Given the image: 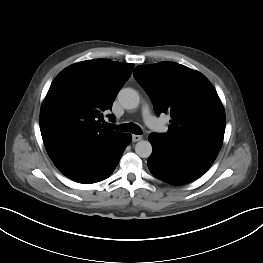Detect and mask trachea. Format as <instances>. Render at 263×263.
I'll list each match as a JSON object with an SVG mask.
<instances>
[{"mask_svg": "<svg viewBox=\"0 0 263 263\" xmlns=\"http://www.w3.org/2000/svg\"><path fill=\"white\" fill-rule=\"evenodd\" d=\"M117 131L121 132H131L136 135H141L142 131L141 128L134 123H124L116 128Z\"/></svg>", "mask_w": 263, "mask_h": 263, "instance_id": "3493384b", "label": "trachea"}]
</instances>
